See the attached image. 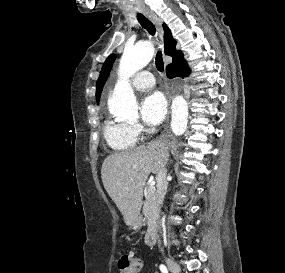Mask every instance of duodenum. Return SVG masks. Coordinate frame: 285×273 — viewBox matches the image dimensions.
I'll return each instance as SVG.
<instances>
[{
	"label": "duodenum",
	"instance_id": "1",
	"mask_svg": "<svg viewBox=\"0 0 285 273\" xmlns=\"http://www.w3.org/2000/svg\"><path fill=\"white\" fill-rule=\"evenodd\" d=\"M157 232H158V226L154 222L151 224L148 232L146 233V236H145L146 245L151 246L155 243L156 237H157Z\"/></svg>",
	"mask_w": 285,
	"mask_h": 273
}]
</instances>
